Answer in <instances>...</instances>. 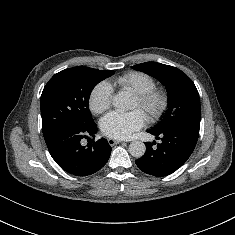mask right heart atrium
<instances>
[{
  "instance_id": "1",
  "label": "right heart atrium",
  "mask_w": 235,
  "mask_h": 235,
  "mask_svg": "<svg viewBox=\"0 0 235 235\" xmlns=\"http://www.w3.org/2000/svg\"><path fill=\"white\" fill-rule=\"evenodd\" d=\"M113 89L111 85L102 81L94 86L89 95V108L94 114H101L108 110L112 104Z\"/></svg>"
}]
</instances>
